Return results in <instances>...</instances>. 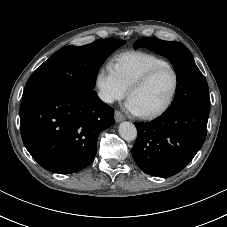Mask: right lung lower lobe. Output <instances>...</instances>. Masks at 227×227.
Segmentation results:
<instances>
[{
    "mask_svg": "<svg viewBox=\"0 0 227 227\" xmlns=\"http://www.w3.org/2000/svg\"><path fill=\"white\" fill-rule=\"evenodd\" d=\"M114 124V109L96 92L51 91L24 99L21 136L31 156L46 170L68 174L88 166L99 133Z\"/></svg>",
    "mask_w": 227,
    "mask_h": 227,
    "instance_id": "98d812e1",
    "label": "right lung lower lobe"
}]
</instances>
